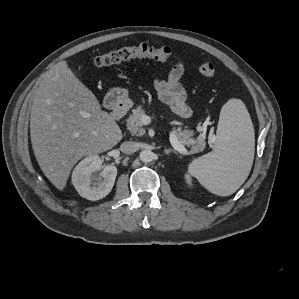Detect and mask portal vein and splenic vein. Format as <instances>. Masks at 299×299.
Wrapping results in <instances>:
<instances>
[{
    "mask_svg": "<svg viewBox=\"0 0 299 299\" xmlns=\"http://www.w3.org/2000/svg\"><path fill=\"white\" fill-rule=\"evenodd\" d=\"M142 122L145 124H149L151 122V118L147 115L142 116ZM169 139L172 144V146L180 153L183 155H188L190 152L182 145L176 138V134L174 131H171L169 134Z\"/></svg>",
    "mask_w": 299,
    "mask_h": 299,
    "instance_id": "1",
    "label": "portal vein and splenic vein"
}]
</instances>
